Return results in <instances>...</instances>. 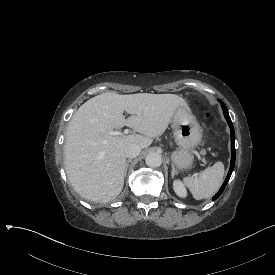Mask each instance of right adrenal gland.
Listing matches in <instances>:
<instances>
[{"instance_id":"2a0ac1e0","label":"right adrenal gland","mask_w":275,"mask_h":275,"mask_svg":"<svg viewBox=\"0 0 275 275\" xmlns=\"http://www.w3.org/2000/svg\"><path fill=\"white\" fill-rule=\"evenodd\" d=\"M131 161H132L131 159H129V160L126 161L125 170H124V178L126 177L127 169H128L129 163Z\"/></svg>"}]
</instances>
